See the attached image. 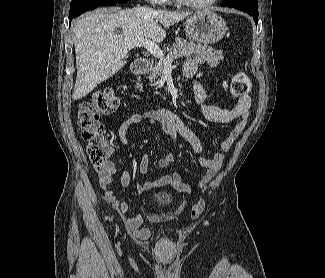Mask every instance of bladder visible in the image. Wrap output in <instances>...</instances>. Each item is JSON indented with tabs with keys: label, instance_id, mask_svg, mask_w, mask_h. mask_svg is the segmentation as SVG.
<instances>
[{
	"label": "bladder",
	"instance_id": "obj_1",
	"mask_svg": "<svg viewBox=\"0 0 325 278\" xmlns=\"http://www.w3.org/2000/svg\"><path fill=\"white\" fill-rule=\"evenodd\" d=\"M153 201L158 205H167L173 201V195L167 191H159L153 195Z\"/></svg>",
	"mask_w": 325,
	"mask_h": 278
}]
</instances>
